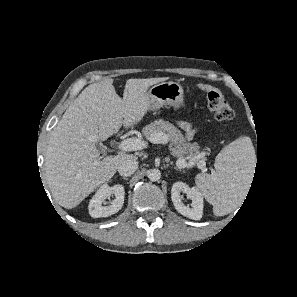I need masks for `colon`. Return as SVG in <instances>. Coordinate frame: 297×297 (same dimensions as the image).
<instances>
[{
	"label": "colon",
	"instance_id": "obj_1",
	"mask_svg": "<svg viewBox=\"0 0 297 297\" xmlns=\"http://www.w3.org/2000/svg\"><path fill=\"white\" fill-rule=\"evenodd\" d=\"M202 89L206 92L208 107L217 120L226 121L233 118L232 107L218 90L209 86H203Z\"/></svg>",
	"mask_w": 297,
	"mask_h": 297
}]
</instances>
